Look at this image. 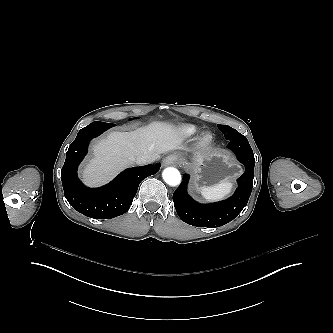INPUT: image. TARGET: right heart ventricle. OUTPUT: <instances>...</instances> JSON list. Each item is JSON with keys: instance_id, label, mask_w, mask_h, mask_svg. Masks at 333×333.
<instances>
[{"instance_id": "right-heart-ventricle-1", "label": "right heart ventricle", "mask_w": 333, "mask_h": 333, "mask_svg": "<svg viewBox=\"0 0 333 333\" xmlns=\"http://www.w3.org/2000/svg\"><path fill=\"white\" fill-rule=\"evenodd\" d=\"M197 128L194 125H183L178 129V134L183 138H189L195 134Z\"/></svg>"}]
</instances>
